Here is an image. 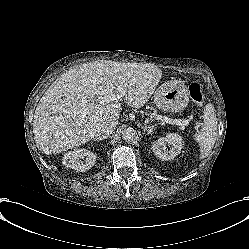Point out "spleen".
Instances as JSON below:
<instances>
[{"label": "spleen", "mask_w": 249, "mask_h": 249, "mask_svg": "<svg viewBox=\"0 0 249 249\" xmlns=\"http://www.w3.org/2000/svg\"><path fill=\"white\" fill-rule=\"evenodd\" d=\"M210 105H206L204 111V125L201 132L196 137L199 143L201 154L207 156L210 153L212 146L214 145L213 131L216 127L215 116Z\"/></svg>", "instance_id": "3e777b00"}]
</instances>
